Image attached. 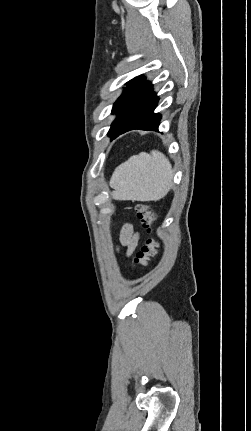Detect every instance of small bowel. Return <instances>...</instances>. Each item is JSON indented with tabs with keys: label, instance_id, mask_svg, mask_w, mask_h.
<instances>
[{
	"label": "small bowel",
	"instance_id": "c3829d8e",
	"mask_svg": "<svg viewBox=\"0 0 251 431\" xmlns=\"http://www.w3.org/2000/svg\"><path fill=\"white\" fill-rule=\"evenodd\" d=\"M139 240V234L134 230L132 225L127 224L120 236L121 244L126 248V255L130 256L135 250Z\"/></svg>",
	"mask_w": 251,
	"mask_h": 431
}]
</instances>
